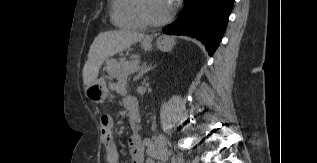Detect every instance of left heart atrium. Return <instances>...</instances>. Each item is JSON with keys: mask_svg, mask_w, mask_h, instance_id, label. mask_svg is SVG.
<instances>
[{"mask_svg": "<svg viewBox=\"0 0 317 163\" xmlns=\"http://www.w3.org/2000/svg\"><path fill=\"white\" fill-rule=\"evenodd\" d=\"M167 2H168V4L170 5V7H172L173 4H174V2H175V0H167Z\"/></svg>", "mask_w": 317, "mask_h": 163, "instance_id": "left-heart-atrium-1", "label": "left heart atrium"}]
</instances>
